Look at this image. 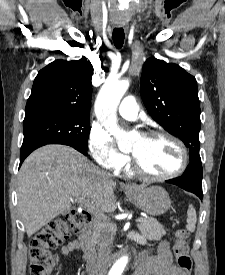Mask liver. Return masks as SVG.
Instances as JSON below:
<instances>
[{
  "mask_svg": "<svg viewBox=\"0 0 225 275\" xmlns=\"http://www.w3.org/2000/svg\"><path fill=\"white\" fill-rule=\"evenodd\" d=\"M116 183L75 149L49 144L31 153L17 183L18 208L28 237L71 208L89 200L104 212L116 207Z\"/></svg>",
  "mask_w": 225,
  "mask_h": 275,
  "instance_id": "1",
  "label": "liver"
}]
</instances>
